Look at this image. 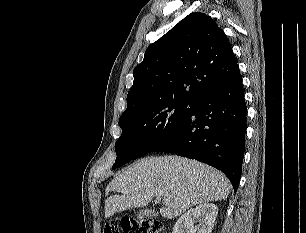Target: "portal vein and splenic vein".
Listing matches in <instances>:
<instances>
[{"mask_svg": "<svg viewBox=\"0 0 306 233\" xmlns=\"http://www.w3.org/2000/svg\"><path fill=\"white\" fill-rule=\"evenodd\" d=\"M156 199H157V200H160V199H161V197H160V196H158ZM163 201H164V203H167V202H168V200H167V199H163Z\"/></svg>", "mask_w": 306, "mask_h": 233, "instance_id": "obj_1", "label": "portal vein and splenic vein"}]
</instances>
